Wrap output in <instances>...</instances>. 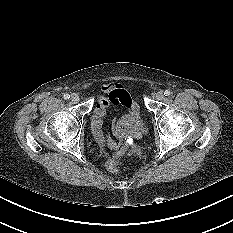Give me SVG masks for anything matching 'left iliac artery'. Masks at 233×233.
Segmentation results:
<instances>
[{
	"label": "left iliac artery",
	"mask_w": 233,
	"mask_h": 233,
	"mask_svg": "<svg viewBox=\"0 0 233 233\" xmlns=\"http://www.w3.org/2000/svg\"><path fill=\"white\" fill-rule=\"evenodd\" d=\"M170 93H171V92H170L169 90H165L164 95H165V96H169Z\"/></svg>",
	"instance_id": "1"
}]
</instances>
